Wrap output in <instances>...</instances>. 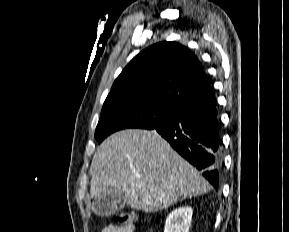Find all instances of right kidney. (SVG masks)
<instances>
[{
  "label": "right kidney",
  "instance_id": "ca27d5eb",
  "mask_svg": "<svg viewBox=\"0 0 289 232\" xmlns=\"http://www.w3.org/2000/svg\"><path fill=\"white\" fill-rule=\"evenodd\" d=\"M193 210L182 206L174 209L167 217L164 232H189Z\"/></svg>",
  "mask_w": 289,
  "mask_h": 232
}]
</instances>
